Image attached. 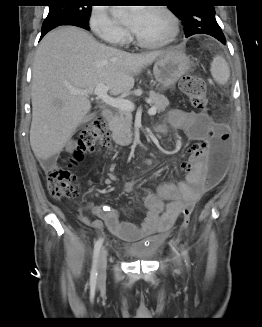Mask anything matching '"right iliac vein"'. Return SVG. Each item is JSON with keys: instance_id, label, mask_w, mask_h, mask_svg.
Wrapping results in <instances>:
<instances>
[{"instance_id": "right-iliac-vein-1", "label": "right iliac vein", "mask_w": 262, "mask_h": 327, "mask_svg": "<svg viewBox=\"0 0 262 327\" xmlns=\"http://www.w3.org/2000/svg\"><path fill=\"white\" fill-rule=\"evenodd\" d=\"M107 255L108 251L103 247L100 251L98 262L97 283L99 286L103 285L106 280Z\"/></svg>"}]
</instances>
